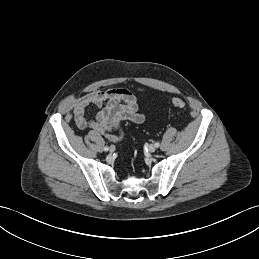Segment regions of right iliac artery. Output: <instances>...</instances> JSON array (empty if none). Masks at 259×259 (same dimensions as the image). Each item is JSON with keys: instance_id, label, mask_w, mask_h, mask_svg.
<instances>
[{"instance_id": "1", "label": "right iliac artery", "mask_w": 259, "mask_h": 259, "mask_svg": "<svg viewBox=\"0 0 259 259\" xmlns=\"http://www.w3.org/2000/svg\"><path fill=\"white\" fill-rule=\"evenodd\" d=\"M104 150H105V151H108V150H109V147H107V146L104 147Z\"/></svg>"}]
</instances>
